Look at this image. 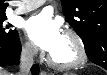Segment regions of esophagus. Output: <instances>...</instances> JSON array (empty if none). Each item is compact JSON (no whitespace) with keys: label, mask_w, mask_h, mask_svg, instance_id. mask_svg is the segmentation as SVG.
I'll return each mask as SVG.
<instances>
[{"label":"esophagus","mask_w":107,"mask_h":75,"mask_svg":"<svg viewBox=\"0 0 107 75\" xmlns=\"http://www.w3.org/2000/svg\"><path fill=\"white\" fill-rule=\"evenodd\" d=\"M41 75H47V73L45 71H42Z\"/></svg>","instance_id":"1"}]
</instances>
